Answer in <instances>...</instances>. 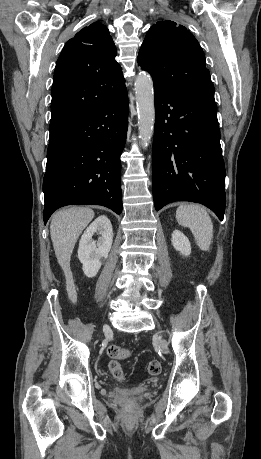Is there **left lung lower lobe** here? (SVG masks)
<instances>
[{
	"label": "left lung lower lobe",
	"mask_w": 261,
	"mask_h": 459,
	"mask_svg": "<svg viewBox=\"0 0 261 459\" xmlns=\"http://www.w3.org/2000/svg\"><path fill=\"white\" fill-rule=\"evenodd\" d=\"M153 199L156 210L175 201L201 203L220 220L225 166L215 100L154 86Z\"/></svg>",
	"instance_id": "0a47b994"
}]
</instances>
